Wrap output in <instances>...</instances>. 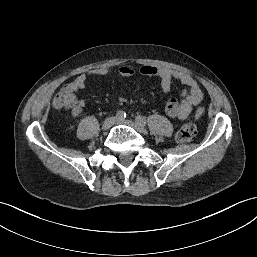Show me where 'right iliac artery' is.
Masks as SVG:
<instances>
[{"instance_id":"right-iliac-artery-1","label":"right iliac artery","mask_w":257,"mask_h":257,"mask_svg":"<svg viewBox=\"0 0 257 257\" xmlns=\"http://www.w3.org/2000/svg\"><path fill=\"white\" fill-rule=\"evenodd\" d=\"M118 119H124L126 117V113L124 111H119L116 115Z\"/></svg>"}]
</instances>
